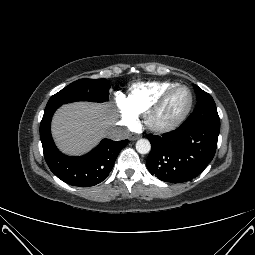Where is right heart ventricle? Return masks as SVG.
Here are the masks:
<instances>
[{"instance_id":"right-heart-ventricle-1","label":"right heart ventricle","mask_w":255,"mask_h":255,"mask_svg":"<svg viewBox=\"0 0 255 255\" xmlns=\"http://www.w3.org/2000/svg\"><path fill=\"white\" fill-rule=\"evenodd\" d=\"M176 86L173 82H151L134 85L124 99L134 113L146 112L168 89Z\"/></svg>"}]
</instances>
